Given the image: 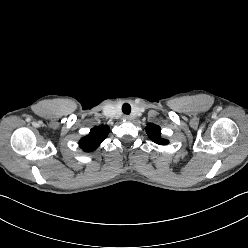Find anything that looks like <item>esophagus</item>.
Here are the masks:
<instances>
[{"instance_id":"obj_1","label":"esophagus","mask_w":248,"mask_h":248,"mask_svg":"<svg viewBox=\"0 0 248 248\" xmlns=\"http://www.w3.org/2000/svg\"><path fill=\"white\" fill-rule=\"evenodd\" d=\"M123 120L124 121H130L131 120V117L129 115H124L123 116Z\"/></svg>"}]
</instances>
